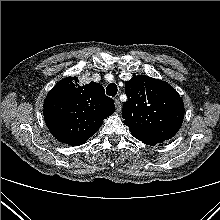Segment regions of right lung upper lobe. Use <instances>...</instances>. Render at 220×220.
I'll return each instance as SVG.
<instances>
[{"label":"right lung upper lobe","mask_w":220,"mask_h":220,"mask_svg":"<svg viewBox=\"0 0 220 220\" xmlns=\"http://www.w3.org/2000/svg\"><path fill=\"white\" fill-rule=\"evenodd\" d=\"M77 77H66L48 93L44 120L51 134L60 142L82 145L115 111L114 101L102 85L91 82L80 86Z\"/></svg>","instance_id":"obj_1"}]
</instances>
